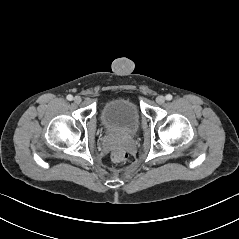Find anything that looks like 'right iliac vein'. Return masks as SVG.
Masks as SVG:
<instances>
[{
	"instance_id": "obj_1",
	"label": "right iliac vein",
	"mask_w": 239,
	"mask_h": 239,
	"mask_svg": "<svg viewBox=\"0 0 239 239\" xmlns=\"http://www.w3.org/2000/svg\"><path fill=\"white\" fill-rule=\"evenodd\" d=\"M81 101H82V99H81L80 96H75V97H74V102H75L76 104H79Z\"/></svg>"
}]
</instances>
